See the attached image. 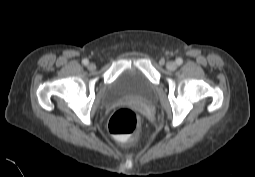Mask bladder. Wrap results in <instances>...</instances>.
Listing matches in <instances>:
<instances>
[{"mask_svg": "<svg viewBox=\"0 0 255 177\" xmlns=\"http://www.w3.org/2000/svg\"><path fill=\"white\" fill-rule=\"evenodd\" d=\"M156 98V87L150 79L135 67L122 71L100 97V104L107 106L125 99L152 103Z\"/></svg>", "mask_w": 255, "mask_h": 177, "instance_id": "bladder-1", "label": "bladder"}]
</instances>
